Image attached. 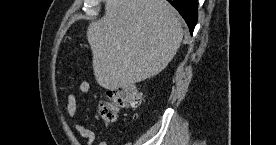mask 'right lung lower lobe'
<instances>
[{"label":"right lung lower lobe","mask_w":276,"mask_h":145,"mask_svg":"<svg viewBox=\"0 0 276 145\" xmlns=\"http://www.w3.org/2000/svg\"><path fill=\"white\" fill-rule=\"evenodd\" d=\"M185 19L190 33H193L198 18V0H168Z\"/></svg>","instance_id":"98d812e1"}]
</instances>
